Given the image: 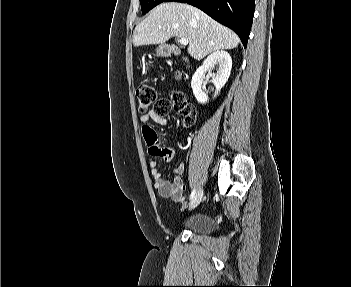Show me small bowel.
<instances>
[{
  "label": "small bowel",
  "instance_id": "1",
  "mask_svg": "<svg viewBox=\"0 0 351 287\" xmlns=\"http://www.w3.org/2000/svg\"><path fill=\"white\" fill-rule=\"evenodd\" d=\"M139 120L142 123V137L145 138L144 145H146L147 156H152L149 167L155 181V188L161 196L172 198L177 202H182L186 190L184 181L185 164L181 162L173 169L172 181L163 178L162 172L159 169L158 159L160 158L165 162H170L174 159L175 154L172 148L160 146V132H156V127H154L153 122H150L154 121L161 126H166L168 124L167 119L151 110L141 114Z\"/></svg>",
  "mask_w": 351,
  "mask_h": 287
}]
</instances>
